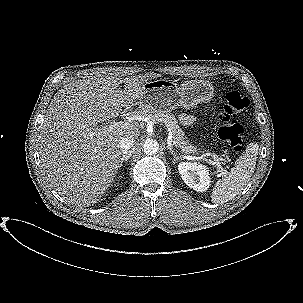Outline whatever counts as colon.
<instances>
[{
  "label": "colon",
  "mask_w": 303,
  "mask_h": 303,
  "mask_svg": "<svg viewBox=\"0 0 303 303\" xmlns=\"http://www.w3.org/2000/svg\"><path fill=\"white\" fill-rule=\"evenodd\" d=\"M248 98L237 91H228L225 95L224 109L221 113L219 136L226 141L235 152L241 151L244 141V129L237 117L248 110Z\"/></svg>",
  "instance_id": "colon-1"
}]
</instances>
